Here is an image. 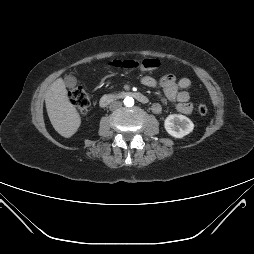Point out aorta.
Listing matches in <instances>:
<instances>
[{"label":"aorta","instance_id":"762f6f07","mask_svg":"<svg viewBox=\"0 0 254 254\" xmlns=\"http://www.w3.org/2000/svg\"><path fill=\"white\" fill-rule=\"evenodd\" d=\"M124 105L127 107H131L134 105V99L132 97H126L123 101Z\"/></svg>","mask_w":254,"mask_h":254}]
</instances>
